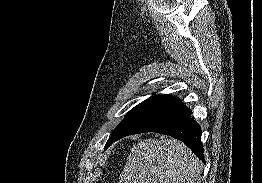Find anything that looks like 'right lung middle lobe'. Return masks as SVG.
Segmentation results:
<instances>
[{"mask_svg":"<svg viewBox=\"0 0 262 183\" xmlns=\"http://www.w3.org/2000/svg\"><path fill=\"white\" fill-rule=\"evenodd\" d=\"M151 99L152 97L148 98L128 112L124 120H122V122L112 132V135L107 141L106 145L111 144L113 141L116 140V138L120 136L125 128L142 112V110L147 106Z\"/></svg>","mask_w":262,"mask_h":183,"instance_id":"obj_1","label":"right lung middle lobe"}]
</instances>
